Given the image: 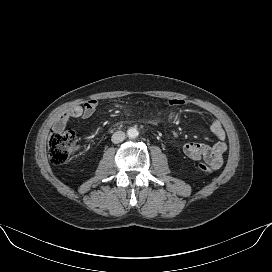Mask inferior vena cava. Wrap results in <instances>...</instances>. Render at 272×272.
Returning a JSON list of instances; mask_svg holds the SVG:
<instances>
[{
  "label": "inferior vena cava",
  "instance_id": "602c4592",
  "mask_svg": "<svg viewBox=\"0 0 272 272\" xmlns=\"http://www.w3.org/2000/svg\"><path fill=\"white\" fill-rule=\"evenodd\" d=\"M125 139V133L122 131H117L112 135L111 141L114 144L120 143Z\"/></svg>",
  "mask_w": 272,
  "mask_h": 272
}]
</instances>
